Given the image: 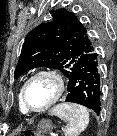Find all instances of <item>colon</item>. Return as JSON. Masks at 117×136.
Here are the masks:
<instances>
[{"mask_svg":"<svg viewBox=\"0 0 117 136\" xmlns=\"http://www.w3.org/2000/svg\"><path fill=\"white\" fill-rule=\"evenodd\" d=\"M26 135H27V136H31V135H33V134L29 132V133H26Z\"/></svg>","mask_w":117,"mask_h":136,"instance_id":"5ec220e1","label":"colon"}]
</instances>
